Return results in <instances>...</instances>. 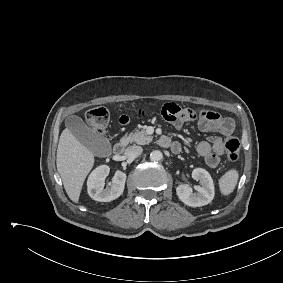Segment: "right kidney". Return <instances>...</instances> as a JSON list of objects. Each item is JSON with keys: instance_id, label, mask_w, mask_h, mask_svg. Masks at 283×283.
I'll return each mask as SVG.
<instances>
[{"instance_id": "1", "label": "right kidney", "mask_w": 283, "mask_h": 283, "mask_svg": "<svg viewBox=\"0 0 283 283\" xmlns=\"http://www.w3.org/2000/svg\"><path fill=\"white\" fill-rule=\"evenodd\" d=\"M110 172L107 165L98 166L88 177L87 188L89 196L99 202H109L117 199L124 191L126 174L116 171L111 185L104 189L105 179Z\"/></svg>"}]
</instances>
